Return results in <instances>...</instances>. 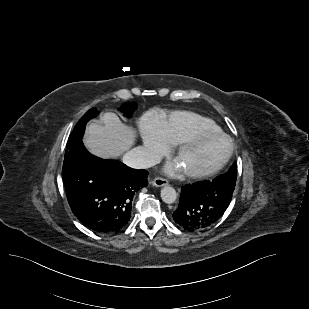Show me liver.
<instances>
[{"label":"liver","mask_w":309,"mask_h":309,"mask_svg":"<svg viewBox=\"0 0 309 309\" xmlns=\"http://www.w3.org/2000/svg\"><path fill=\"white\" fill-rule=\"evenodd\" d=\"M101 121L86 128L84 144L92 154L105 159L117 158L134 145L136 131L122 123L115 113H104Z\"/></svg>","instance_id":"6515ba94"}]
</instances>
